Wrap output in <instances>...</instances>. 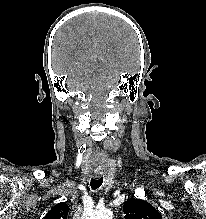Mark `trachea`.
<instances>
[{"mask_svg": "<svg viewBox=\"0 0 206 219\" xmlns=\"http://www.w3.org/2000/svg\"><path fill=\"white\" fill-rule=\"evenodd\" d=\"M103 183V177L100 178H92L90 182V186L93 190L98 189Z\"/></svg>", "mask_w": 206, "mask_h": 219, "instance_id": "1", "label": "trachea"}]
</instances>
